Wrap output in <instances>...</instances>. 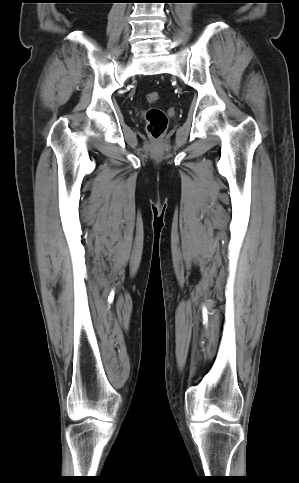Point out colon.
<instances>
[{
    "mask_svg": "<svg viewBox=\"0 0 299 483\" xmlns=\"http://www.w3.org/2000/svg\"><path fill=\"white\" fill-rule=\"evenodd\" d=\"M149 103H156L160 99V95L156 91L149 92L146 95ZM147 132L153 139H160L166 132L168 120L163 110L159 108H151L146 114Z\"/></svg>",
    "mask_w": 299,
    "mask_h": 483,
    "instance_id": "5ec220e1",
    "label": "colon"
}]
</instances>
